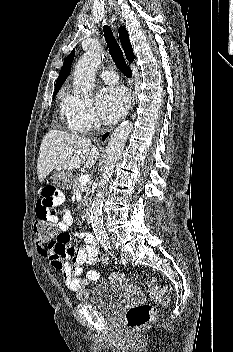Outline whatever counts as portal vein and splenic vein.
Returning <instances> with one entry per match:
<instances>
[{"instance_id": "1", "label": "portal vein and splenic vein", "mask_w": 233, "mask_h": 352, "mask_svg": "<svg viewBox=\"0 0 233 352\" xmlns=\"http://www.w3.org/2000/svg\"><path fill=\"white\" fill-rule=\"evenodd\" d=\"M90 175L89 174H83L79 177V182L81 185H86L87 183L90 182Z\"/></svg>"}]
</instances>
